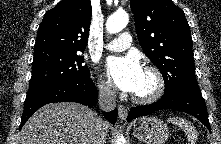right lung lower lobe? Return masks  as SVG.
<instances>
[{"mask_svg":"<svg viewBox=\"0 0 221 144\" xmlns=\"http://www.w3.org/2000/svg\"><path fill=\"white\" fill-rule=\"evenodd\" d=\"M96 98L97 90L91 79L86 82L62 81L49 84L34 93L26 95L20 129L27 119L45 104L55 102H77L92 106L95 104ZM103 114L112 124L116 122V109Z\"/></svg>","mask_w":221,"mask_h":144,"instance_id":"obj_1","label":"right lung lower lobe"}]
</instances>
